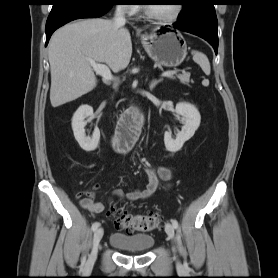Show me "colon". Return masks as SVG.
I'll use <instances>...</instances> for the list:
<instances>
[{
  "label": "colon",
  "instance_id": "5ec220e1",
  "mask_svg": "<svg viewBox=\"0 0 278 278\" xmlns=\"http://www.w3.org/2000/svg\"><path fill=\"white\" fill-rule=\"evenodd\" d=\"M109 215L114 217L116 227L127 231H151L160 227L162 220L157 214H132L127 211L111 209Z\"/></svg>",
  "mask_w": 278,
  "mask_h": 278
}]
</instances>
